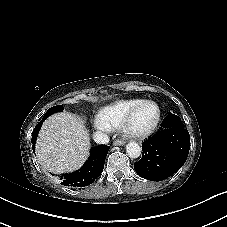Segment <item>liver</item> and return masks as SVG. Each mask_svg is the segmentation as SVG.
Returning <instances> with one entry per match:
<instances>
[{
  "label": "liver",
  "instance_id": "obj_1",
  "mask_svg": "<svg viewBox=\"0 0 227 227\" xmlns=\"http://www.w3.org/2000/svg\"><path fill=\"white\" fill-rule=\"evenodd\" d=\"M89 133L75 115L63 112L50 116L42 125L36 142L39 164L51 173L80 168L89 156Z\"/></svg>",
  "mask_w": 227,
  "mask_h": 227
}]
</instances>
